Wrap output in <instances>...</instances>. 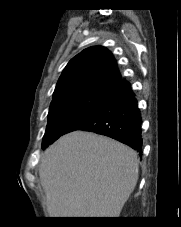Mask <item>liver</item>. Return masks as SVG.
Returning a JSON list of instances; mask_svg holds the SVG:
<instances>
[{"label":"liver","instance_id":"obj_1","mask_svg":"<svg viewBox=\"0 0 181 227\" xmlns=\"http://www.w3.org/2000/svg\"><path fill=\"white\" fill-rule=\"evenodd\" d=\"M137 153L91 132L49 146L39 176L50 217H119L138 180Z\"/></svg>","mask_w":181,"mask_h":227}]
</instances>
